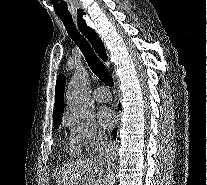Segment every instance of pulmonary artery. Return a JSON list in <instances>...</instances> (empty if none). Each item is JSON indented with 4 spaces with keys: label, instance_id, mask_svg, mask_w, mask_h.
<instances>
[{
    "label": "pulmonary artery",
    "instance_id": "pulmonary-artery-1",
    "mask_svg": "<svg viewBox=\"0 0 207 185\" xmlns=\"http://www.w3.org/2000/svg\"><path fill=\"white\" fill-rule=\"evenodd\" d=\"M101 88L102 87L97 88L94 91V98L98 102H102V103L108 102L111 98V92L109 90H102Z\"/></svg>",
    "mask_w": 207,
    "mask_h": 185
}]
</instances>
